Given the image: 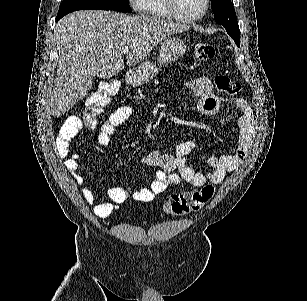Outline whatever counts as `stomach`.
Segmentation results:
<instances>
[{
    "label": "stomach",
    "mask_w": 307,
    "mask_h": 301,
    "mask_svg": "<svg viewBox=\"0 0 307 301\" xmlns=\"http://www.w3.org/2000/svg\"><path fill=\"white\" fill-rule=\"evenodd\" d=\"M188 46L184 40L177 38V36H169L161 42L158 50L157 62H151V60H144L135 68H130L125 74L126 84L131 86H141L146 84L151 78H154L158 74L161 64H168V62H174L181 58L185 54Z\"/></svg>",
    "instance_id": "0dacf381"
}]
</instances>
